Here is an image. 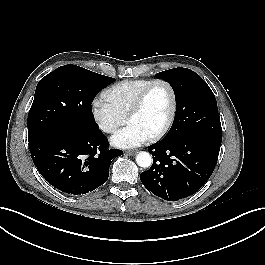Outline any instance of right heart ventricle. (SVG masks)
Wrapping results in <instances>:
<instances>
[{"instance_id": "1", "label": "right heart ventricle", "mask_w": 265, "mask_h": 265, "mask_svg": "<svg viewBox=\"0 0 265 265\" xmlns=\"http://www.w3.org/2000/svg\"><path fill=\"white\" fill-rule=\"evenodd\" d=\"M151 81L152 79H134L118 82L105 90L104 98L121 114L127 116L139 93Z\"/></svg>"}]
</instances>
